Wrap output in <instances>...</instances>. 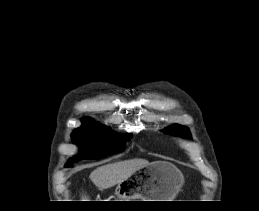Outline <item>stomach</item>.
<instances>
[{"mask_svg":"<svg viewBox=\"0 0 259 211\" xmlns=\"http://www.w3.org/2000/svg\"><path fill=\"white\" fill-rule=\"evenodd\" d=\"M180 172L167 162H153L138 169L115 189L118 199L171 201L182 185ZM122 201V200H117Z\"/></svg>","mask_w":259,"mask_h":211,"instance_id":"0dacf381","label":"stomach"}]
</instances>
